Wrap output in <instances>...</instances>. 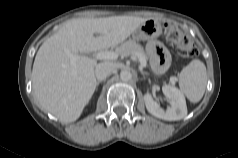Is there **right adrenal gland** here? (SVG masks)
I'll return each instance as SVG.
<instances>
[{"label":"right adrenal gland","mask_w":238,"mask_h":158,"mask_svg":"<svg viewBox=\"0 0 238 158\" xmlns=\"http://www.w3.org/2000/svg\"><path fill=\"white\" fill-rule=\"evenodd\" d=\"M100 83H101V81H97V82H96V85L98 86Z\"/></svg>","instance_id":"2a0ac1e0"}]
</instances>
